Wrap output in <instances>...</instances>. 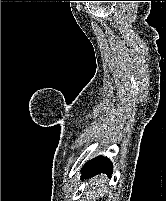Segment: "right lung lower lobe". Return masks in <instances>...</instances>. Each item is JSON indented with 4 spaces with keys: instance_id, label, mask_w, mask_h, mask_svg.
Masks as SVG:
<instances>
[{
    "instance_id": "right-lung-lower-lobe-1",
    "label": "right lung lower lobe",
    "mask_w": 166,
    "mask_h": 201,
    "mask_svg": "<svg viewBox=\"0 0 166 201\" xmlns=\"http://www.w3.org/2000/svg\"><path fill=\"white\" fill-rule=\"evenodd\" d=\"M112 164L107 157H96L93 160L85 164L84 168L81 170L82 177L84 178L87 175H96L98 173H106L109 176L112 174Z\"/></svg>"
}]
</instances>
